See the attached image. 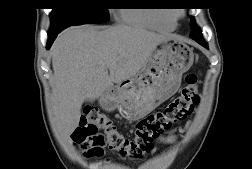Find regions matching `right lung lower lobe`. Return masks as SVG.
<instances>
[{
    "label": "right lung lower lobe",
    "mask_w": 252,
    "mask_h": 169,
    "mask_svg": "<svg viewBox=\"0 0 252 169\" xmlns=\"http://www.w3.org/2000/svg\"><path fill=\"white\" fill-rule=\"evenodd\" d=\"M59 32H60V30L50 31L48 33L47 49L50 48L51 44L53 43V41L55 40V38L57 37V35H58Z\"/></svg>",
    "instance_id": "right-lung-lower-lobe-1"
}]
</instances>
